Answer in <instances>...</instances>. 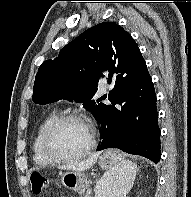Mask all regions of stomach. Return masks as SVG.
<instances>
[{"label": "stomach", "mask_w": 191, "mask_h": 197, "mask_svg": "<svg viewBox=\"0 0 191 197\" xmlns=\"http://www.w3.org/2000/svg\"><path fill=\"white\" fill-rule=\"evenodd\" d=\"M123 160L122 156L116 151H106L99 157V166L111 171L119 162ZM61 183L68 189L78 194H83L89 186V180L82 171L69 170L61 175Z\"/></svg>", "instance_id": "1"}]
</instances>
